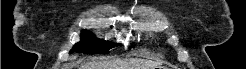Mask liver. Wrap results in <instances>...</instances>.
<instances>
[{
    "label": "liver",
    "mask_w": 246,
    "mask_h": 69,
    "mask_svg": "<svg viewBox=\"0 0 246 69\" xmlns=\"http://www.w3.org/2000/svg\"><path fill=\"white\" fill-rule=\"evenodd\" d=\"M159 64L152 61H144L140 59H131L128 62L118 61H92L80 69H153Z\"/></svg>",
    "instance_id": "1"
}]
</instances>
